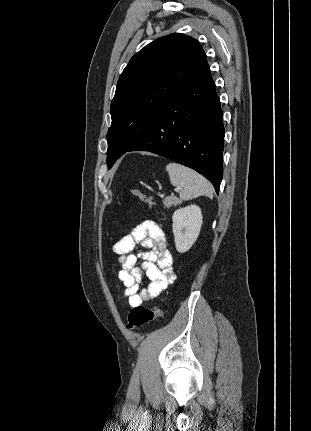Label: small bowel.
Masks as SVG:
<instances>
[{
  "label": "small bowel",
  "instance_id": "c3829d8e",
  "mask_svg": "<svg viewBox=\"0 0 311 431\" xmlns=\"http://www.w3.org/2000/svg\"><path fill=\"white\" fill-rule=\"evenodd\" d=\"M137 245L149 250L136 256L132 252ZM113 251L121 265L118 289L123 291L131 307L157 298L175 280L173 259L167 248L165 234L155 221L145 220L139 223L115 243ZM138 258L143 259L140 266L136 265ZM143 275L147 276L150 284L147 288L140 289Z\"/></svg>",
  "mask_w": 311,
  "mask_h": 431
}]
</instances>
